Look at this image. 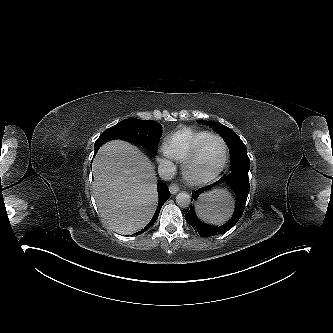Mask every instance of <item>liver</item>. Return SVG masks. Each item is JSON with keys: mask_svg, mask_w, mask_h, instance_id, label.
I'll list each match as a JSON object with an SVG mask.
<instances>
[{"mask_svg": "<svg viewBox=\"0 0 333 333\" xmlns=\"http://www.w3.org/2000/svg\"><path fill=\"white\" fill-rule=\"evenodd\" d=\"M94 197L101 217L117 233L129 235L151 220L158 202L151 161L122 140L103 145L93 161Z\"/></svg>", "mask_w": 333, "mask_h": 333, "instance_id": "1", "label": "liver"}]
</instances>
